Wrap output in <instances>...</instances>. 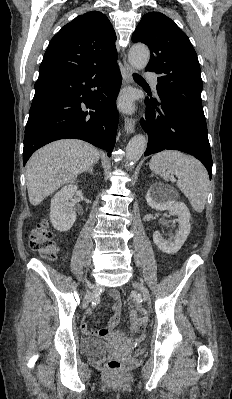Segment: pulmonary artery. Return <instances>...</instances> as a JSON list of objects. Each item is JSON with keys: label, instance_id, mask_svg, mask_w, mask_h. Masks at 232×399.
<instances>
[{"label": "pulmonary artery", "instance_id": "obj_1", "mask_svg": "<svg viewBox=\"0 0 232 399\" xmlns=\"http://www.w3.org/2000/svg\"><path fill=\"white\" fill-rule=\"evenodd\" d=\"M146 78L148 80H151L153 78V75L151 74V71H148V74L146 75ZM151 81H152L153 85L157 84V79L156 78H153Z\"/></svg>", "mask_w": 232, "mask_h": 399}]
</instances>
